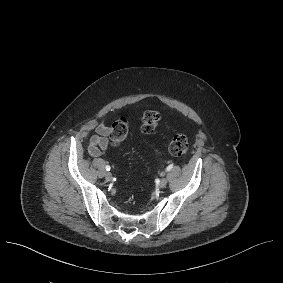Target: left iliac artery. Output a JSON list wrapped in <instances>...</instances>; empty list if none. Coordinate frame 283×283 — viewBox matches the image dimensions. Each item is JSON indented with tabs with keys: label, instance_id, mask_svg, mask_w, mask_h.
I'll use <instances>...</instances> for the list:
<instances>
[{
	"label": "left iliac artery",
	"instance_id": "obj_1",
	"mask_svg": "<svg viewBox=\"0 0 283 283\" xmlns=\"http://www.w3.org/2000/svg\"><path fill=\"white\" fill-rule=\"evenodd\" d=\"M173 168V164H170L167 168L166 171H170Z\"/></svg>",
	"mask_w": 283,
	"mask_h": 283
}]
</instances>
